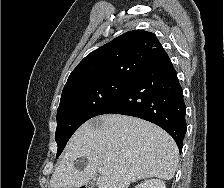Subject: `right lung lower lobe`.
<instances>
[{
  "label": "right lung lower lobe",
  "instance_id": "1",
  "mask_svg": "<svg viewBox=\"0 0 224 188\" xmlns=\"http://www.w3.org/2000/svg\"><path fill=\"white\" fill-rule=\"evenodd\" d=\"M109 113L138 117L160 126L172 136L181 152L186 106L170 58L133 78L130 87L101 112Z\"/></svg>",
  "mask_w": 224,
  "mask_h": 188
}]
</instances>
